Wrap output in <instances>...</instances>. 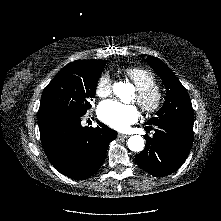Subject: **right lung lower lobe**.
<instances>
[{
    "instance_id": "obj_1",
    "label": "right lung lower lobe",
    "mask_w": 221,
    "mask_h": 221,
    "mask_svg": "<svg viewBox=\"0 0 221 221\" xmlns=\"http://www.w3.org/2000/svg\"><path fill=\"white\" fill-rule=\"evenodd\" d=\"M82 116L64 117L39 124L43 149L63 175L84 180L102 166L109 143L117 132L98 122L96 128L81 126Z\"/></svg>"
}]
</instances>
